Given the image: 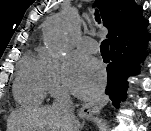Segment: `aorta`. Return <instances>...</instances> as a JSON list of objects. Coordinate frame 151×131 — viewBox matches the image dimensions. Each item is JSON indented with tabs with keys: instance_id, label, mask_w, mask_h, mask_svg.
<instances>
[{
	"instance_id": "aorta-1",
	"label": "aorta",
	"mask_w": 151,
	"mask_h": 131,
	"mask_svg": "<svg viewBox=\"0 0 151 131\" xmlns=\"http://www.w3.org/2000/svg\"><path fill=\"white\" fill-rule=\"evenodd\" d=\"M76 26V17L72 10L49 20L44 30L45 41L55 52H61L69 33Z\"/></svg>"
}]
</instances>
